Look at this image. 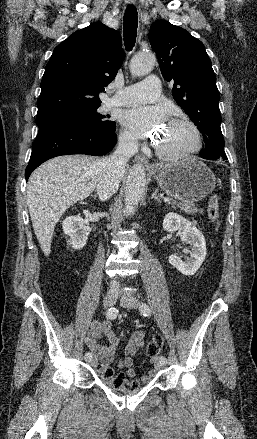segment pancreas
<instances>
[{"label": "pancreas", "mask_w": 257, "mask_h": 439, "mask_svg": "<svg viewBox=\"0 0 257 439\" xmlns=\"http://www.w3.org/2000/svg\"><path fill=\"white\" fill-rule=\"evenodd\" d=\"M171 204L173 205L174 208H180L181 211H183V212H185L187 214L202 213V210L198 209L192 203L173 201Z\"/></svg>", "instance_id": "cf45deb5"}]
</instances>
